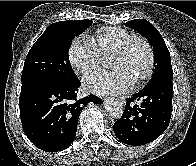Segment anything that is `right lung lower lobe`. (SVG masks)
I'll return each instance as SVG.
<instances>
[{"mask_svg":"<svg viewBox=\"0 0 196 166\" xmlns=\"http://www.w3.org/2000/svg\"><path fill=\"white\" fill-rule=\"evenodd\" d=\"M81 83L34 78L22 82L20 117L25 135L39 149L58 152L75 139L79 115L87 103L102 100L90 95L77 100Z\"/></svg>","mask_w":196,"mask_h":166,"instance_id":"right-lung-lower-lobe-1","label":"right lung lower lobe"}]
</instances>
